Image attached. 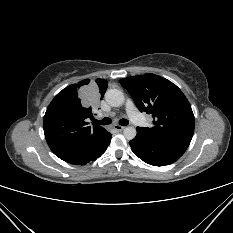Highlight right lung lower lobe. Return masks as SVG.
<instances>
[{
	"instance_id": "right-lung-lower-lobe-1",
	"label": "right lung lower lobe",
	"mask_w": 233,
	"mask_h": 233,
	"mask_svg": "<svg viewBox=\"0 0 233 233\" xmlns=\"http://www.w3.org/2000/svg\"><path fill=\"white\" fill-rule=\"evenodd\" d=\"M111 140V134H109L107 141L105 142V144L94 154L92 155L90 158L83 160V161H79V162H68L71 164H75V165H84L88 162L94 161L96 160L98 157H100L106 150L107 146L109 145Z\"/></svg>"
}]
</instances>
